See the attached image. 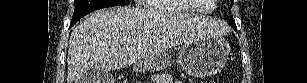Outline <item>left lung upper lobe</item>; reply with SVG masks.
<instances>
[{"mask_svg":"<svg viewBox=\"0 0 307 83\" xmlns=\"http://www.w3.org/2000/svg\"><path fill=\"white\" fill-rule=\"evenodd\" d=\"M231 3H233V0H231ZM230 25H231L232 27L236 28V25H235V23H234L232 17L230 18Z\"/></svg>","mask_w":307,"mask_h":83,"instance_id":"obj_1","label":"left lung upper lobe"}]
</instances>
